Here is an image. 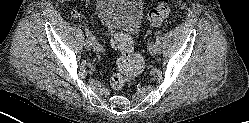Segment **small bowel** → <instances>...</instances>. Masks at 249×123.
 I'll return each mask as SVG.
<instances>
[{"instance_id":"c3829d8e","label":"small bowel","mask_w":249,"mask_h":123,"mask_svg":"<svg viewBox=\"0 0 249 123\" xmlns=\"http://www.w3.org/2000/svg\"><path fill=\"white\" fill-rule=\"evenodd\" d=\"M84 1H85V4H86L87 8H90V6H91V0H84ZM72 16L75 19H81L82 18V14H81V12L79 11V9L77 7H75L72 10Z\"/></svg>"}]
</instances>
